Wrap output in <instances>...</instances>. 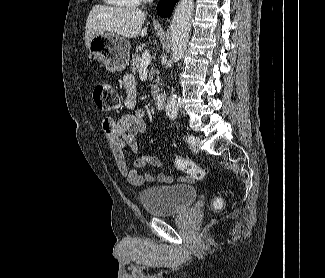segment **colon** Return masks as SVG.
I'll list each match as a JSON object with an SVG mask.
<instances>
[{
	"label": "colon",
	"mask_w": 325,
	"mask_h": 278,
	"mask_svg": "<svg viewBox=\"0 0 325 278\" xmlns=\"http://www.w3.org/2000/svg\"><path fill=\"white\" fill-rule=\"evenodd\" d=\"M93 100L96 107L104 113H112L121 109V97L114 86L107 81L96 84L93 90ZM173 160L176 168L187 175V179L202 180L207 174L205 168L180 156L173 155ZM222 204V198H217L213 202L214 208H219Z\"/></svg>",
	"instance_id": "obj_1"
}]
</instances>
